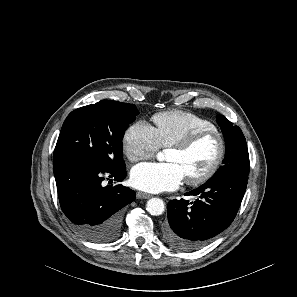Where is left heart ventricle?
Here are the masks:
<instances>
[{
    "instance_id": "obj_1",
    "label": "left heart ventricle",
    "mask_w": 297,
    "mask_h": 297,
    "mask_svg": "<svg viewBox=\"0 0 297 297\" xmlns=\"http://www.w3.org/2000/svg\"><path fill=\"white\" fill-rule=\"evenodd\" d=\"M219 153V142L214 136L202 139L187 151L170 148L166 151L165 159L178 163L185 178L199 175L206 171L215 161Z\"/></svg>"
}]
</instances>
